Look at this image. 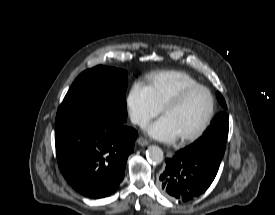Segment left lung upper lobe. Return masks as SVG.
Wrapping results in <instances>:
<instances>
[{"instance_id": "1", "label": "left lung upper lobe", "mask_w": 275, "mask_h": 215, "mask_svg": "<svg viewBox=\"0 0 275 215\" xmlns=\"http://www.w3.org/2000/svg\"><path fill=\"white\" fill-rule=\"evenodd\" d=\"M216 96L222 107L227 109L222 95L217 92ZM228 119L229 116L225 111L218 113L203 136L186 147L184 151L190 155L210 159L220 164L228 137Z\"/></svg>"}]
</instances>
